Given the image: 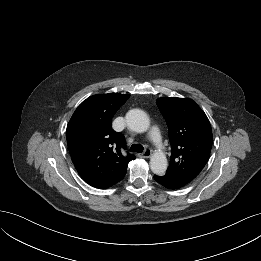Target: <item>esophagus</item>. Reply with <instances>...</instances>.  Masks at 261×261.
I'll use <instances>...</instances> for the list:
<instances>
[{
    "mask_svg": "<svg viewBox=\"0 0 261 261\" xmlns=\"http://www.w3.org/2000/svg\"><path fill=\"white\" fill-rule=\"evenodd\" d=\"M152 155V151L150 149H146L143 153H140L138 156L141 158H149Z\"/></svg>",
    "mask_w": 261,
    "mask_h": 261,
    "instance_id": "1",
    "label": "esophagus"
}]
</instances>
